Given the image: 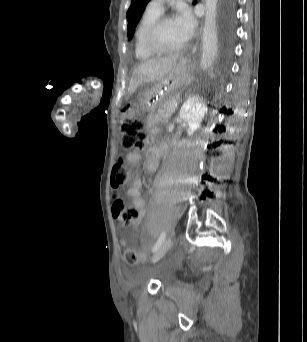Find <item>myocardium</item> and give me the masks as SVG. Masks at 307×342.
I'll list each match as a JSON object with an SVG mask.
<instances>
[{
    "mask_svg": "<svg viewBox=\"0 0 307 342\" xmlns=\"http://www.w3.org/2000/svg\"><path fill=\"white\" fill-rule=\"evenodd\" d=\"M171 21H176V19L170 15H159L149 24L143 38L144 47L148 52L155 56H174L182 53L185 50L186 44L179 49L164 50L161 49L156 43V36L161 26L164 23Z\"/></svg>",
    "mask_w": 307,
    "mask_h": 342,
    "instance_id": "obj_1",
    "label": "myocardium"
}]
</instances>
